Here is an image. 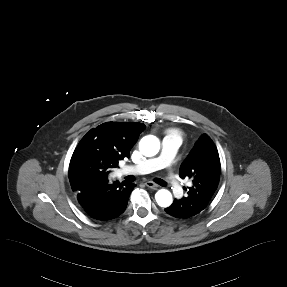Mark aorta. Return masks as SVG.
Listing matches in <instances>:
<instances>
[{
    "mask_svg": "<svg viewBox=\"0 0 287 287\" xmlns=\"http://www.w3.org/2000/svg\"><path fill=\"white\" fill-rule=\"evenodd\" d=\"M160 149V141L156 136L147 135L139 142V150L146 157L155 156ZM155 199L160 207H169L173 202L172 194L167 189H160L155 194Z\"/></svg>",
    "mask_w": 287,
    "mask_h": 287,
    "instance_id": "aorta-1",
    "label": "aorta"
}]
</instances>
